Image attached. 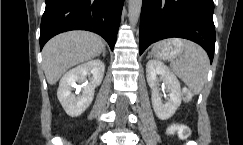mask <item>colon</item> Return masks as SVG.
I'll use <instances>...</instances> for the list:
<instances>
[{"label":"colon","mask_w":243,"mask_h":145,"mask_svg":"<svg viewBox=\"0 0 243 145\" xmlns=\"http://www.w3.org/2000/svg\"><path fill=\"white\" fill-rule=\"evenodd\" d=\"M183 98L186 102H189L191 100L192 94L188 89L184 90ZM171 131H176L183 138L189 135V129L186 126H177L172 128Z\"/></svg>","instance_id":"colon-1"}]
</instances>
